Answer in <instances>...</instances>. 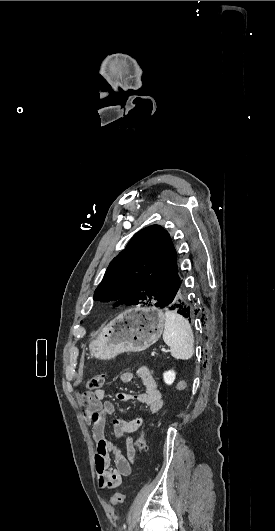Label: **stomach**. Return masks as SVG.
Returning <instances> with one entry per match:
<instances>
[{
	"instance_id": "stomach-1",
	"label": "stomach",
	"mask_w": 275,
	"mask_h": 531,
	"mask_svg": "<svg viewBox=\"0 0 275 531\" xmlns=\"http://www.w3.org/2000/svg\"><path fill=\"white\" fill-rule=\"evenodd\" d=\"M165 317L161 309L136 307L128 309L102 329L91 341V357L109 361L120 353H140L160 339Z\"/></svg>"
}]
</instances>
